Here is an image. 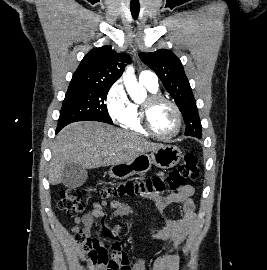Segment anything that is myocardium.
Segmentation results:
<instances>
[{
    "instance_id": "myocardium-1",
    "label": "myocardium",
    "mask_w": 267,
    "mask_h": 270,
    "mask_svg": "<svg viewBox=\"0 0 267 270\" xmlns=\"http://www.w3.org/2000/svg\"><path fill=\"white\" fill-rule=\"evenodd\" d=\"M160 102H165L169 104L175 112L177 118V126L173 134L169 136H163L155 131L150 121V112L154 105ZM140 121L143 128L153 137L161 141H172L174 140L181 132L182 129V114L175 102L171 99L157 93L150 94L148 97L140 104Z\"/></svg>"
}]
</instances>
